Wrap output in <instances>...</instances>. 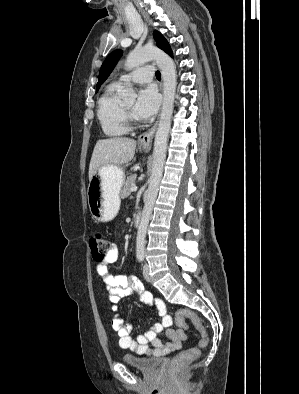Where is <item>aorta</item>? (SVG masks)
I'll return each instance as SVG.
<instances>
[{"label":"aorta","instance_id":"obj_1","mask_svg":"<svg viewBox=\"0 0 299 394\" xmlns=\"http://www.w3.org/2000/svg\"><path fill=\"white\" fill-rule=\"evenodd\" d=\"M151 60H155L161 70L163 78V103L154 141L152 172L149 179L148 193L136 238V253L140 256L144 255L147 227L162 178L177 85L174 62L169 55L159 48L143 47L131 51L126 58L125 67L126 70H131ZM121 96L124 99L134 100L136 94L133 88L129 86L122 91Z\"/></svg>","mask_w":299,"mask_h":394}]
</instances>
